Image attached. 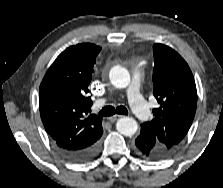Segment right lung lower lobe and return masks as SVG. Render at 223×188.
Masks as SVG:
<instances>
[{"mask_svg":"<svg viewBox=\"0 0 223 188\" xmlns=\"http://www.w3.org/2000/svg\"><path fill=\"white\" fill-rule=\"evenodd\" d=\"M99 140V139H98ZM98 140L94 141L90 145L77 149V150H70L66 148L57 147L58 151L67 159L74 161V162H86L93 157L96 156L99 150V142Z\"/></svg>","mask_w":223,"mask_h":188,"instance_id":"right-lung-lower-lobe-1","label":"right lung lower lobe"}]
</instances>
